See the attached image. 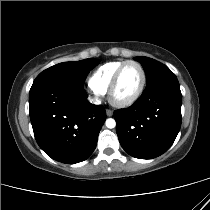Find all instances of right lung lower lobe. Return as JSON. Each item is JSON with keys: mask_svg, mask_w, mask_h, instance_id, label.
<instances>
[{"mask_svg": "<svg viewBox=\"0 0 210 210\" xmlns=\"http://www.w3.org/2000/svg\"><path fill=\"white\" fill-rule=\"evenodd\" d=\"M82 86L60 81L34 83L29 114L40 148L68 164L86 160L94 151L106 120L102 105L91 104Z\"/></svg>", "mask_w": 210, "mask_h": 210, "instance_id": "right-lung-lower-lobe-1", "label": "right lung lower lobe"}]
</instances>
